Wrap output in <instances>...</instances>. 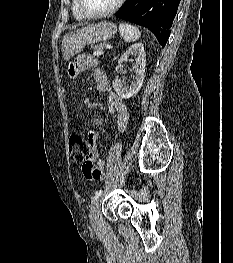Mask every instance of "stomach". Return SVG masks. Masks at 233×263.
Listing matches in <instances>:
<instances>
[{
	"label": "stomach",
	"instance_id": "stomach-1",
	"mask_svg": "<svg viewBox=\"0 0 233 263\" xmlns=\"http://www.w3.org/2000/svg\"><path fill=\"white\" fill-rule=\"evenodd\" d=\"M117 33V26L111 22L89 24L77 31L67 33L62 40L61 50L64 60L80 53L86 45L105 42Z\"/></svg>",
	"mask_w": 233,
	"mask_h": 263
}]
</instances>
